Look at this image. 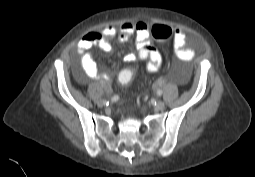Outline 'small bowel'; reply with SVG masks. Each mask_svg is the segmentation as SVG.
<instances>
[{
  "label": "small bowel",
  "mask_w": 255,
  "mask_h": 177,
  "mask_svg": "<svg viewBox=\"0 0 255 177\" xmlns=\"http://www.w3.org/2000/svg\"><path fill=\"white\" fill-rule=\"evenodd\" d=\"M131 36L135 37L137 52L128 53L124 56V61L133 63L136 60L146 61V70L149 73L157 72L162 64L160 53L151 46L150 43V25L146 21L125 22L119 29L113 26H106L101 32H90L86 34L77 44L76 52L80 59L82 71L91 79L99 81H110V76L99 71L98 66L91 53V48L99 46L103 51L110 52L111 45L108 40L115 37L120 42H126ZM186 42V33L182 29H175L173 44L176 57L183 61L189 62L193 59L194 53L184 47ZM78 80L83 81L78 71L75 72ZM109 88V86H107Z\"/></svg>",
  "instance_id": "c3829d8e"
}]
</instances>
